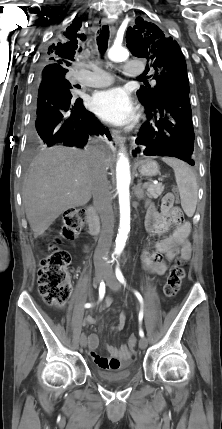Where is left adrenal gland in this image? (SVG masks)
Here are the masks:
<instances>
[{
	"label": "left adrenal gland",
	"mask_w": 222,
	"mask_h": 429,
	"mask_svg": "<svg viewBox=\"0 0 222 429\" xmlns=\"http://www.w3.org/2000/svg\"><path fill=\"white\" fill-rule=\"evenodd\" d=\"M135 196L138 198V200H142L145 197L144 189L142 188V182L141 180L138 181V184L134 190Z\"/></svg>",
	"instance_id": "left-adrenal-gland-1"
}]
</instances>
